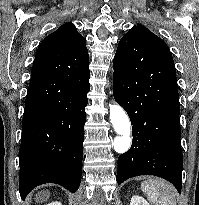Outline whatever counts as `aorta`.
I'll use <instances>...</instances> for the list:
<instances>
[{
	"label": "aorta",
	"instance_id": "1",
	"mask_svg": "<svg viewBox=\"0 0 199 205\" xmlns=\"http://www.w3.org/2000/svg\"><path fill=\"white\" fill-rule=\"evenodd\" d=\"M110 120L118 136L114 139V150L123 154L130 148V122L125 111L117 104H110Z\"/></svg>",
	"mask_w": 199,
	"mask_h": 205
}]
</instances>
